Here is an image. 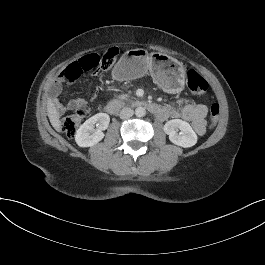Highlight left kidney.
<instances>
[{
	"instance_id": "1",
	"label": "left kidney",
	"mask_w": 265,
	"mask_h": 265,
	"mask_svg": "<svg viewBox=\"0 0 265 265\" xmlns=\"http://www.w3.org/2000/svg\"><path fill=\"white\" fill-rule=\"evenodd\" d=\"M163 129L164 132L169 135L170 141L178 146L187 148L197 143L196 133L193 131L190 124L183 120H170L164 125ZM178 129L181 130L180 134L177 133Z\"/></svg>"
}]
</instances>
